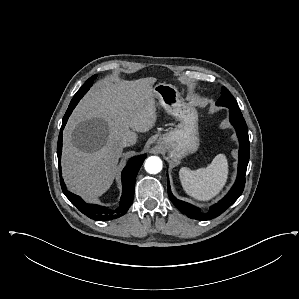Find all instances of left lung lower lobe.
I'll list each match as a JSON object with an SVG mask.
<instances>
[{
	"instance_id": "0a47b994",
	"label": "left lung lower lobe",
	"mask_w": 299,
	"mask_h": 299,
	"mask_svg": "<svg viewBox=\"0 0 299 299\" xmlns=\"http://www.w3.org/2000/svg\"><path fill=\"white\" fill-rule=\"evenodd\" d=\"M230 112V122L235 127L239 138V162L237 179L228 194L218 203L210 207L207 212H201L197 207L176 199L171 193L168 181V195L173 204L191 219L205 221L216 218L227 210L242 194L245 185V174L249 162V137L246 122L239 108L228 107Z\"/></svg>"
}]
</instances>
